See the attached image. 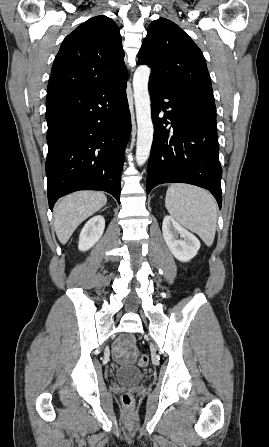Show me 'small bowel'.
Instances as JSON below:
<instances>
[{
  "instance_id": "obj_1",
  "label": "small bowel",
  "mask_w": 269,
  "mask_h": 447,
  "mask_svg": "<svg viewBox=\"0 0 269 447\" xmlns=\"http://www.w3.org/2000/svg\"><path fill=\"white\" fill-rule=\"evenodd\" d=\"M123 336L127 340H133L137 338V333L133 331L125 332V334L121 336L120 340L113 346V357L120 364H125L137 357L132 347L125 344L124 340L122 339Z\"/></svg>"
}]
</instances>
